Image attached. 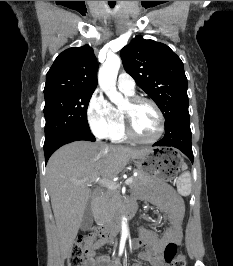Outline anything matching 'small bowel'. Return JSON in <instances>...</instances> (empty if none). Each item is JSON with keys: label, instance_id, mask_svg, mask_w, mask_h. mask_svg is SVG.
<instances>
[{"label": "small bowel", "instance_id": "obj_1", "mask_svg": "<svg viewBox=\"0 0 233 266\" xmlns=\"http://www.w3.org/2000/svg\"><path fill=\"white\" fill-rule=\"evenodd\" d=\"M155 204L163 214L167 228L162 234L140 228L139 238L133 242L134 248H144L139 254V260L148 261L152 266H166L163 261V251L170 244H179L182 239V221L184 214L183 202L168 186H161L159 190L147 198ZM111 243L96 239L90 242L89 253L85 266H119V261L108 255H99L97 250ZM134 266H141L135 264Z\"/></svg>", "mask_w": 233, "mask_h": 266}]
</instances>
